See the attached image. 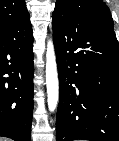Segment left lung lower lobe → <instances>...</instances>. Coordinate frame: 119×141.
<instances>
[{
	"instance_id": "obj_1",
	"label": "left lung lower lobe",
	"mask_w": 119,
	"mask_h": 141,
	"mask_svg": "<svg viewBox=\"0 0 119 141\" xmlns=\"http://www.w3.org/2000/svg\"><path fill=\"white\" fill-rule=\"evenodd\" d=\"M59 74L56 140L119 141V44L114 29L52 15Z\"/></svg>"
}]
</instances>
